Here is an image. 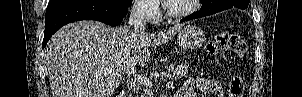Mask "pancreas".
I'll return each instance as SVG.
<instances>
[{
  "label": "pancreas",
  "mask_w": 302,
  "mask_h": 97,
  "mask_svg": "<svg viewBox=\"0 0 302 97\" xmlns=\"http://www.w3.org/2000/svg\"><path fill=\"white\" fill-rule=\"evenodd\" d=\"M167 71L168 73H165V77H172L173 79L177 80L186 76L189 71V68L187 65H170L167 68ZM170 72L172 74H169ZM143 97H152V95L149 91H146Z\"/></svg>",
  "instance_id": "obj_1"
}]
</instances>
